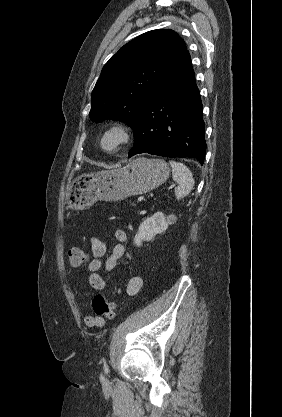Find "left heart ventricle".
I'll list each match as a JSON object with an SVG mask.
<instances>
[{
	"mask_svg": "<svg viewBox=\"0 0 282 417\" xmlns=\"http://www.w3.org/2000/svg\"><path fill=\"white\" fill-rule=\"evenodd\" d=\"M114 142H115V138H113V137H109V138H107V139L105 140V145H106L107 147H112V146H113V144H114Z\"/></svg>",
	"mask_w": 282,
	"mask_h": 417,
	"instance_id": "1",
	"label": "left heart ventricle"
}]
</instances>
